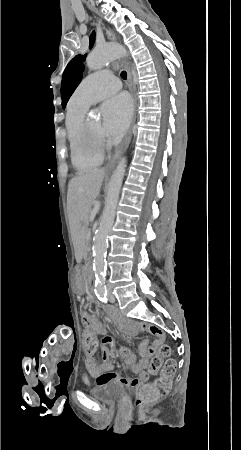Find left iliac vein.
<instances>
[{"mask_svg": "<svg viewBox=\"0 0 241 450\" xmlns=\"http://www.w3.org/2000/svg\"><path fill=\"white\" fill-rule=\"evenodd\" d=\"M109 300L111 301V302H114L115 301V297H114V295H112L111 294V292L109 293Z\"/></svg>", "mask_w": 241, "mask_h": 450, "instance_id": "1", "label": "left iliac vein"}]
</instances>
